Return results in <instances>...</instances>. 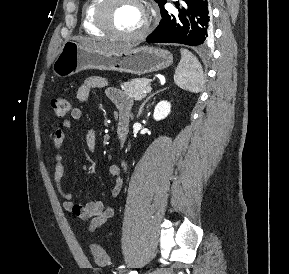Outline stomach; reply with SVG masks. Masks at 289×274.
Wrapping results in <instances>:
<instances>
[{
  "instance_id": "obj_1",
  "label": "stomach",
  "mask_w": 289,
  "mask_h": 274,
  "mask_svg": "<svg viewBox=\"0 0 289 274\" xmlns=\"http://www.w3.org/2000/svg\"><path fill=\"white\" fill-rule=\"evenodd\" d=\"M172 54L155 47H136L111 53L91 49L75 41H66L53 63L54 75L70 77L87 69H99L143 75L169 67Z\"/></svg>"
}]
</instances>
